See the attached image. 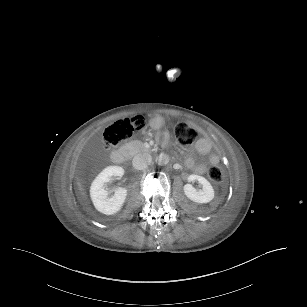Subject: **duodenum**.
Wrapping results in <instances>:
<instances>
[{
    "label": "duodenum",
    "instance_id": "410a0bca",
    "mask_svg": "<svg viewBox=\"0 0 307 307\" xmlns=\"http://www.w3.org/2000/svg\"><path fill=\"white\" fill-rule=\"evenodd\" d=\"M127 151L124 148H120V149H115L112 154H111V158L112 161L118 165H122L125 163L126 159H127Z\"/></svg>",
    "mask_w": 307,
    "mask_h": 307
}]
</instances>
